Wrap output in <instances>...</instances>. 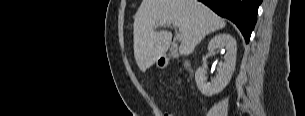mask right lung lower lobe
Instances as JSON below:
<instances>
[{"instance_id":"obj_1","label":"right lung lower lobe","mask_w":305,"mask_h":116,"mask_svg":"<svg viewBox=\"0 0 305 116\" xmlns=\"http://www.w3.org/2000/svg\"><path fill=\"white\" fill-rule=\"evenodd\" d=\"M218 15L234 22L242 32L246 43L257 20L258 7L262 0H199Z\"/></svg>"}]
</instances>
